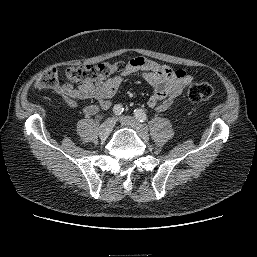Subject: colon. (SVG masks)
<instances>
[{
  "label": "colon",
  "instance_id": "5ec220e1",
  "mask_svg": "<svg viewBox=\"0 0 257 257\" xmlns=\"http://www.w3.org/2000/svg\"><path fill=\"white\" fill-rule=\"evenodd\" d=\"M125 68L126 65L122 61L70 66L61 73L57 69L51 68L41 75L37 81V86L40 89L56 88L59 82V75L80 85H94L108 79L112 74L124 72ZM213 95L214 89L207 82L192 83L187 89V97L193 103L208 101Z\"/></svg>",
  "mask_w": 257,
  "mask_h": 257
}]
</instances>
